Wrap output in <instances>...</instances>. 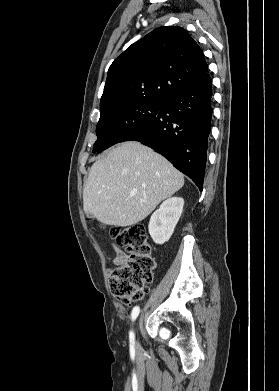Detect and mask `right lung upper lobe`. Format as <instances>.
Wrapping results in <instances>:
<instances>
[{"label": "right lung upper lobe", "mask_w": 279, "mask_h": 391, "mask_svg": "<svg viewBox=\"0 0 279 391\" xmlns=\"http://www.w3.org/2000/svg\"><path fill=\"white\" fill-rule=\"evenodd\" d=\"M208 71L199 45L181 27H160L111 64L100 113L137 101L165 102Z\"/></svg>", "instance_id": "obj_1"}]
</instances>
